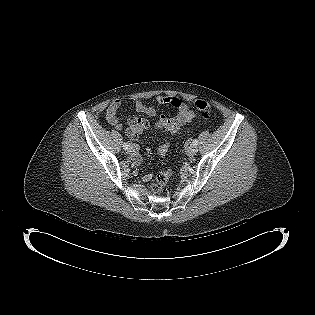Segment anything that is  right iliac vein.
<instances>
[{
    "mask_svg": "<svg viewBox=\"0 0 315 315\" xmlns=\"http://www.w3.org/2000/svg\"><path fill=\"white\" fill-rule=\"evenodd\" d=\"M134 151V147L133 146H130L128 149H127V153L129 154H132Z\"/></svg>",
    "mask_w": 315,
    "mask_h": 315,
    "instance_id": "1",
    "label": "right iliac vein"
}]
</instances>
